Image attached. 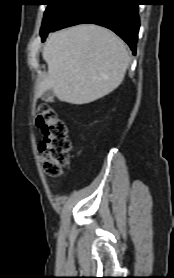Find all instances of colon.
Returning a JSON list of instances; mask_svg holds the SVG:
<instances>
[{
    "label": "colon",
    "mask_w": 174,
    "mask_h": 278,
    "mask_svg": "<svg viewBox=\"0 0 174 278\" xmlns=\"http://www.w3.org/2000/svg\"><path fill=\"white\" fill-rule=\"evenodd\" d=\"M35 123L44 134L39 148L44 170L50 177H58L68 162L71 148L67 127L48 104L38 106Z\"/></svg>",
    "instance_id": "colon-1"
}]
</instances>
